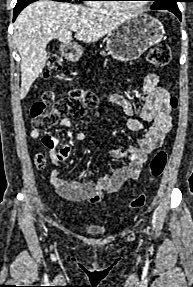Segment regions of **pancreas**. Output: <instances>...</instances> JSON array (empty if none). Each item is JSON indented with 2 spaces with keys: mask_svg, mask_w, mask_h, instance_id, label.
I'll use <instances>...</instances> for the list:
<instances>
[{
  "mask_svg": "<svg viewBox=\"0 0 193 287\" xmlns=\"http://www.w3.org/2000/svg\"><path fill=\"white\" fill-rule=\"evenodd\" d=\"M100 54L105 56L106 52L105 51H101Z\"/></svg>",
  "mask_w": 193,
  "mask_h": 287,
  "instance_id": "cf45deb5",
  "label": "pancreas"
}]
</instances>
